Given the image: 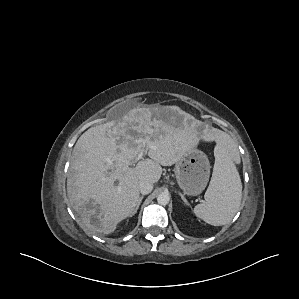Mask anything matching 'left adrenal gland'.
<instances>
[{"instance_id": "obj_1", "label": "left adrenal gland", "mask_w": 299, "mask_h": 299, "mask_svg": "<svg viewBox=\"0 0 299 299\" xmlns=\"http://www.w3.org/2000/svg\"><path fill=\"white\" fill-rule=\"evenodd\" d=\"M178 194L180 195L181 199L183 200V202L188 205V201L186 200V198L184 197V195L181 192H178Z\"/></svg>"}]
</instances>
